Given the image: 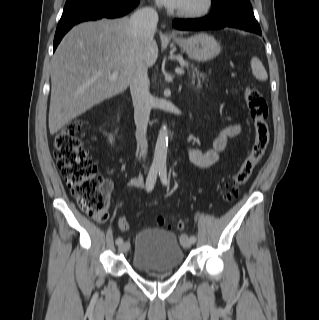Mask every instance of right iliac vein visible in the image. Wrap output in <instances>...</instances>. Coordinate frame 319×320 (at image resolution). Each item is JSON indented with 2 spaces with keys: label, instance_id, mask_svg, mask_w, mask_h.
<instances>
[{
  "label": "right iliac vein",
  "instance_id": "obj_1",
  "mask_svg": "<svg viewBox=\"0 0 319 320\" xmlns=\"http://www.w3.org/2000/svg\"><path fill=\"white\" fill-rule=\"evenodd\" d=\"M130 247V244L129 242H123L120 246H119V251L124 253V252H127L128 249Z\"/></svg>",
  "mask_w": 319,
  "mask_h": 320
}]
</instances>
